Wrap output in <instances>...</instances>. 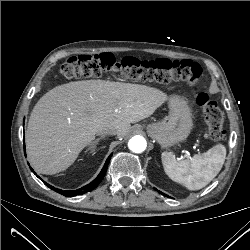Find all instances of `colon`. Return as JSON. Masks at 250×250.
Returning a JSON list of instances; mask_svg holds the SVG:
<instances>
[{
    "mask_svg": "<svg viewBox=\"0 0 250 250\" xmlns=\"http://www.w3.org/2000/svg\"><path fill=\"white\" fill-rule=\"evenodd\" d=\"M66 79L97 78L106 74L119 75L133 81L168 84L182 81L194 87L196 103L202 109L208 132L214 141L225 138L223 113L217 103L201 91L198 82L202 68L192 61L154 59L141 60L135 57L116 58L110 53L76 55L69 57L60 67Z\"/></svg>",
    "mask_w": 250,
    "mask_h": 250,
    "instance_id": "5ec220e1",
    "label": "colon"
}]
</instances>
